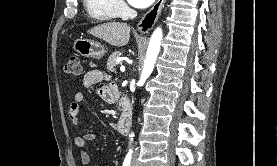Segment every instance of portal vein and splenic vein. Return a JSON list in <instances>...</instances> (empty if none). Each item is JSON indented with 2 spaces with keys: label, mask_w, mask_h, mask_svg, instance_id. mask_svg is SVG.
Wrapping results in <instances>:
<instances>
[{
  "label": "portal vein and splenic vein",
  "mask_w": 277,
  "mask_h": 166,
  "mask_svg": "<svg viewBox=\"0 0 277 166\" xmlns=\"http://www.w3.org/2000/svg\"><path fill=\"white\" fill-rule=\"evenodd\" d=\"M120 70H121V71H124V70H125V67H124V66H121V67H120Z\"/></svg>",
  "instance_id": "18ae733b"
}]
</instances>
